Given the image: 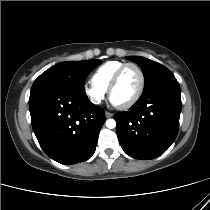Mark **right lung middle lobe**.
<instances>
[{
  "label": "right lung middle lobe",
  "instance_id": "obj_1",
  "mask_svg": "<svg viewBox=\"0 0 210 210\" xmlns=\"http://www.w3.org/2000/svg\"><path fill=\"white\" fill-rule=\"evenodd\" d=\"M99 64V60L67 61L52 66L33 83L31 91L46 87H61L84 91L86 76Z\"/></svg>",
  "mask_w": 210,
  "mask_h": 210
}]
</instances>
